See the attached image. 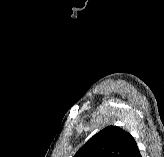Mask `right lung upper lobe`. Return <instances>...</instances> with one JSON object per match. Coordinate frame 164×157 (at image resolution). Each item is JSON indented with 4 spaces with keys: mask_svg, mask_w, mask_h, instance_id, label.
<instances>
[{
    "mask_svg": "<svg viewBox=\"0 0 164 157\" xmlns=\"http://www.w3.org/2000/svg\"><path fill=\"white\" fill-rule=\"evenodd\" d=\"M136 147L128 132L108 126L95 134L73 157H129Z\"/></svg>",
    "mask_w": 164,
    "mask_h": 157,
    "instance_id": "obj_1",
    "label": "right lung upper lobe"
}]
</instances>
